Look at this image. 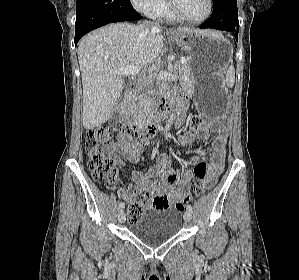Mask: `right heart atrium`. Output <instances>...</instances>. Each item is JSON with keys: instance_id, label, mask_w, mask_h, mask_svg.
Instances as JSON below:
<instances>
[{"instance_id": "d8ad5b80", "label": "right heart atrium", "mask_w": 299, "mask_h": 280, "mask_svg": "<svg viewBox=\"0 0 299 280\" xmlns=\"http://www.w3.org/2000/svg\"><path fill=\"white\" fill-rule=\"evenodd\" d=\"M162 0H130L135 9L145 14L152 15Z\"/></svg>"}]
</instances>
